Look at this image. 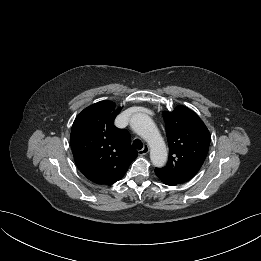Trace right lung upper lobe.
Instances as JSON below:
<instances>
[{
	"label": "right lung upper lobe",
	"mask_w": 261,
	"mask_h": 261,
	"mask_svg": "<svg viewBox=\"0 0 261 261\" xmlns=\"http://www.w3.org/2000/svg\"><path fill=\"white\" fill-rule=\"evenodd\" d=\"M120 110L111 101H100L85 108L72 125L70 143L75 163L96 184L117 182L137 157L128 131L114 126Z\"/></svg>",
	"instance_id": "cb5924a9"
}]
</instances>
